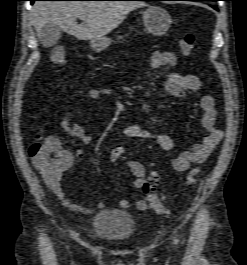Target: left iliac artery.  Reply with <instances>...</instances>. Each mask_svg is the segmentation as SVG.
I'll return each instance as SVG.
<instances>
[{"label":"left iliac artery","mask_w":247,"mask_h":265,"mask_svg":"<svg viewBox=\"0 0 247 265\" xmlns=\"http://www.w3.org/2000/svg\"><path fill=\"white\" fill-rule=\"evenodd\" d=\"M174 243L177 244L178 243V239H174Z\"/></svg>","instance_id":"left-iliac-artery-1"}]
</instances>
